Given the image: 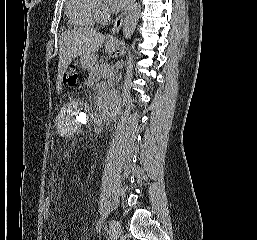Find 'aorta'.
Wrapping results in <instances>:
<instances>
[{
	"label": "aorta",
	"mask_w": 257,
	"mask_h": 240,
	"mask_svg": "<svg viewBox=\"0 0 257 240\" xmlns=\"http://www.w3.org/2000/svg\"><path fill=\"white\" fill-rule=\"evenodd\" d=\"M140 14L141 4L136 2L131 6L123 21V36L125 39H130L133 35L140 18Z\"/></svg>",
	"instance_id": "1"
}]
</instances>
